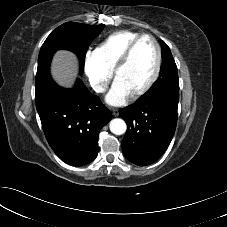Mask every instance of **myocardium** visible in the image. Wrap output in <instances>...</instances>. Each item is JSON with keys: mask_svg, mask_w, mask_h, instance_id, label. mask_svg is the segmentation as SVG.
<instances>
[{"mask_svg": "<svg viewBox=\"0 0 227 227\" xmlns=\"http://www.w3.org/2000/svg\"><path fill=\"white\" fill-rule=\"evenodd\" d=\"M144 39H149L150 41H152V43L155 46L156 53H157L156 67L149 81L141 89L129 95L131 99H137L143 96L144 94H146L153 87V85L156 83V81L160 76L163 58H162V50L158 41L152 35H149V34L140 35L128 45V47L125 49L124 53L122 54V56L120 57V59L118 60V62L116 63V65L112 70L113 79L116 80L118 73L128 64L133 54V51L135 50L137 45Z\"/></svg>", "mask_w": 227, "mask_h": 227, "instance_id": "myocardium-1", "label": "myocardium"}]
</instances>
